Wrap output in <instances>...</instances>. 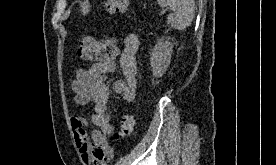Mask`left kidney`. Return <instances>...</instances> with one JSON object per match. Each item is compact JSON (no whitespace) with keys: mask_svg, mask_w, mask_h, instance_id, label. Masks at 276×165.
Here are the masks:
<instances>
[{"mask_svg":"<svg viewBox=\"0 0 276 165\" xmlns=\"http://www.w3.org/2000/svg\"><path fill=\"white\" fill-rule=\"evenodd\" d=\"M170 38H160L150 53V65L154 77H162L166 72L173 52Z\"/></svg>","mask_w":276,"mask_h":165,"instance_id":"obj_1","label":"left kidney"}]
</instances>
